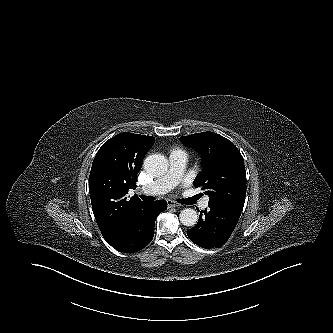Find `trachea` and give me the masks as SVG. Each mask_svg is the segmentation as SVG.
I'll return each instance as SVG.
<instances>
[{"label":"trachea","mask_w":333,"mask_h":333,"mask_svg":"<svg viewBox=\"0 0 333 333\" xmlns=\"http://www.w3.org/2000/svg\"><path fill=\"white\" fill-rule=\"evenodd\" d=\"M142 200L144 201H153L154 197H150V196H141Z\"/></svg>","instance_id":"3493384b"}]
</instances>
